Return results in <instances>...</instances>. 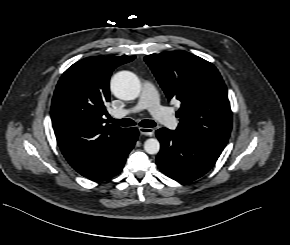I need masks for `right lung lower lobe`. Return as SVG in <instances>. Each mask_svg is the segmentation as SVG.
<instances>
[{"label":"right lung lower lobe","mask_w":290,"mask_h":245,"mask_svg":"<svg viewBox=\"0 0 290 245\" xmlns=\"http://www.w3.org/2000/svg\"><path fill=\"white\" fill-rule=\"evenodd\" d=\"M128 134V143L126 148L120 153L118 157H116L109 165H107L102 170L94 173L90 176H87L88 179L95 181L107 180L109 178L114 177L123 169L125 160L129 152L133 149L134 144L138 138V129L137 128H129Z\"/></svg>","instance_id":"98d812e1"}]
</instances>
